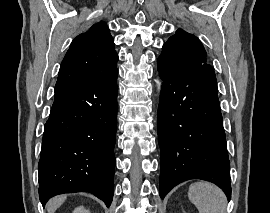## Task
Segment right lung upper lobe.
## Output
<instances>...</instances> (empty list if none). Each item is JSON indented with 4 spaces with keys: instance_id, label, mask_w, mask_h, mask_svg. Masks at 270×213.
Masks as SVG:
<instances>
[{
    "instance_id": "cb5924a9",
    "label": "right lung upper lobe",
    "mask_w": 270,
    "mask_h": 213,
    "mask_svg": "<svg viewBox=\"0 0 270 213\" xmlns=\"http://www.w3.org/2000/svg\"><path fill=\"white\" fill-rule=\"evenodd\" d=\"M117 61L108 26L103 21L94 24L72 41L60 66L55 93L113 76Z\"/></svg>"
}]
</instances>
